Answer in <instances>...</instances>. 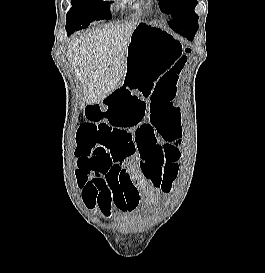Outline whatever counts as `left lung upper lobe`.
<instances>
[{
  "instance_id": "obj_1",
  "label": "left lung upper lobe",
  "mask_w": 265,
  "mask_h": 273,
  "mask_svg": "<svg viewBox=\"0 0 265 273\" xmlns=\"http://www.w3.org/2000/svg\"><path fill=\"white\" fill-rule=\"evenodd\" d=\"M160 4L162 9L173 17L169 22L170 27H180L191 21L198 24V16L194 12L196 0H161Z\"/></svg>"
}]
</instances>
